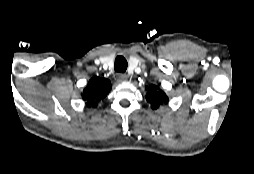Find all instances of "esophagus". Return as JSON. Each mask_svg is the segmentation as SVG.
Returning a JSON list of instances; mask_svg holds the SVG:
<instances>
[{
  "label": "esophagus",
  "instance_id": "34e87169",
  "mask_svg": "<svg viewBox=\"0 0 254 174\" xmlns=\"http://www.w3.org/2000/svg\"><path fill=\"white\" fill-rule=\"evenodd\" d=\"M117 80L122 82V81H127L128 80V77L126 74H123V73H118L117 74Z\"/></svg>",
  "mask_w": 254,
  "mask_h": 174
}]
</instances>
